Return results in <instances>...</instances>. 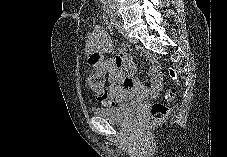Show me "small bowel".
I'll return each mask as SVG.
<instances>
[{"instance_id":"obj_1","label":"small bowel","mask_w":227,"mask_h":157,"mask_svg":"<svg viewBox=\"0 0 227 157\" xmlns=\"http://www.w3.org/2000/svg\"><path fill=\"white\" fill-rule=\"evenodd\" d=\"M85 48L89 62L95 72L106 75L109 86L96 93L99 101L105 104L128 103L156 98L161 84L160 73L156 65L150 69L151 85L144 86L140 80L133 77L135 65L127 53H120L114 58H106L112 49V43L106 32L96 26L88 36Z\"/></svg>"}]
</instances>
